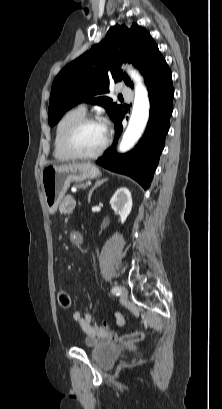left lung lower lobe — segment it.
Masks as SVG:
<instances>
[{
	"instance_id": "0a47b994",
	"label": "left lung lower lobe",
	"mask_w": 222,
	"mask_h": 409,
	"mask_svg": "<svg viewBox=\"0 0 222 409\" xmlns=\"http://www.w3.org/2000/svg\"><path fill=\"white\" fill-rule=\"evenodd\" d=\"M147 87L151 104L150 118L138 144L126 154L116 153V142L123 129L121 121L124 115L121 113L114 121L116 127L114 145L97 160V164L108 170L130 176L144 189L150 186L169 130L174 96L170 69L151 80Z\"/></svg>"
}]
</instances>
